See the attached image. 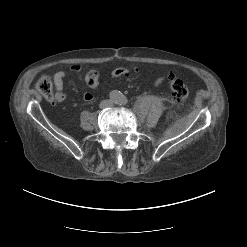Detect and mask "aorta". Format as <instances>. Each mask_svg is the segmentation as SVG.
Returning <instances> with one entry per match:
<instances>
[{"label":"aorta","instance_id":"1","mask_svg":"<svg viewBox=\"0 0 247 247\" xmlns=\"http://www.w3.org/2000/svg\"><path fill=\"white\" fill-rule=\"evenodd\" d=\"M122 97H123V95H122V93H121L120 91H112V92L110 93V98H111L114 102H116V103L121 102Z\"/></svg>","mask_w":247,"mask_h":247}]
</instances>
